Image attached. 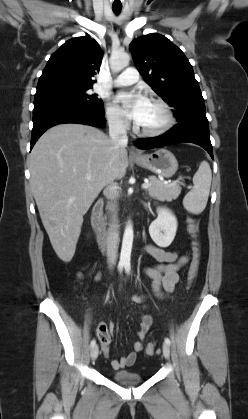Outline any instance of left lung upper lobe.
Wrapping results in <instances>:
<instances>
[{
	"instance_id": "1",
	"label": "left lung upper lobe",
	"mask_w": 248,
	"mask_h": 419,
	"mask_svg": "<svg viewBox=\"0 0 248 419\" xmlns=\"http://www.w3.org/2000/svg\"><path fill=\"white\" fill-rule=\"evenodd\" d=\"M129 48L145 82L175 108L177 119L194 111H205L192 65L180 48L157 33L133 40Z\"/></svg>"
}]
</instances>
